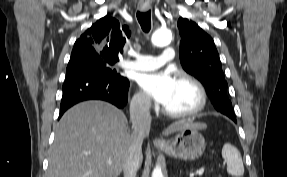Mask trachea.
Returning a JSON list of instances; mask_svg holds the SVG:
<instances>
[{
  "mask_svg": "<svg viewBox=\"0 0 287 177\" xmlns=\"http://www.w3.org/2000/svg\"><path fill=\"white\" fill-rule=\"evenodd\" d=\"M137 20L141 25L142 30L148 33L151 29V12H137Z\"/></svg>",
  "mask_w": 287,
  "mask_h": 177,
  "instance_id": "obj_1",
  "label": "trachea"
}]
</instances>
